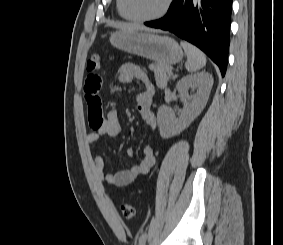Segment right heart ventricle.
<instances>
[{
  "instance_id": "obj_1",
  "label": "right heart ventricle",
  "mask_w": 283,
  "mask_h": 245,
  "mask_svg": "<svg viewBox=\"0 0 283 245\" xmlns=\"http://www.w3.org/2000/svg\"><path fill=\"white\" fill-rule=\"evenodd\" d=\"M116 8H117V12L118 14L122 17V18H126L123 9H122V0H116Z\"/></svg>"
}]
</instances>
